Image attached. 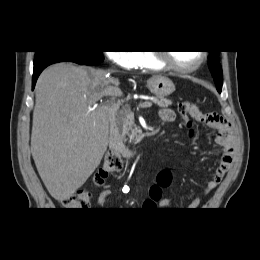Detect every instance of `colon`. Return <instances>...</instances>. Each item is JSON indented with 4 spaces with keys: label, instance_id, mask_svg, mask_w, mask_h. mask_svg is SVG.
I'll use <instances>...</instances> for the list:
<instances>
[{
    "label": "colon",
    "instance_id": "5ec220e1",
    "mask_svg": "<svg viewBox=\"0 0 260 260\" xmlns=\"http://www.w3.org/2000/svg\"><path fill=\"white\" fill-rule=\"evenodd\" d=\"M179 111L187 126H191V119L199 115L200 110L197 105L190 101L181 102ZM123 168L122 159L112 151L106 154L102 168L96 174V182L103 184L107 177L114 172H119ZM172 175L168 170L160 171L156 178V183L150 188L149 194L151 201H158L161 198L162 190L171 183ZM63 205L71 210L88 209L91 204V195L87 191H79L76 194L66 197L62 201Z\"/></svg>",
    "mask_w": 260,
    "mask_h": 260
}]
</instances>
